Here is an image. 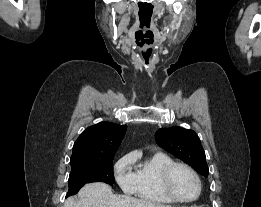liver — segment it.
I'll list each match as a JSON object with an SVG mask.
<instances>
[{
    "label": "liver",
    "instance_id": "6515ba94",
    "mask_svg": "<svg viewBox=\"0 0 261 207\" xmlns=\"http://www.w3.org/2000/svg\"><path fill=\"white\" fill-rule=\"evenodd\" d=\"M78 198H68L64 207H171L132 196L113 194L111 187L103 182L86 184L79 191Z\"/></svg>",
    "mask_w": 261,
    "mask_h": 207
}]
</instances>
